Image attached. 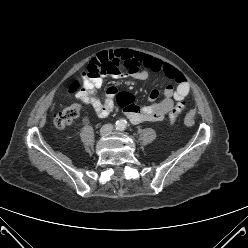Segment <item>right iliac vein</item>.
I'll list each match as a JSON object with an SVG mask.
<instances>
[{
  "mask_svg": "<svg viewBox=\"0 0 248 248\" xmlns=\"http://www.w3.org/2000/svg\"><path fill=\"white\" fill-rule=\"evenodd\" d=\"M101 135H104V132L103 131L101 132Z\"/></svg>",
  "mask_w": 248,
  "mask_h": 248,
  "instance_id": "right-iliac-vein-1",
  "label": "right iliac vein"
}]
</instances>
